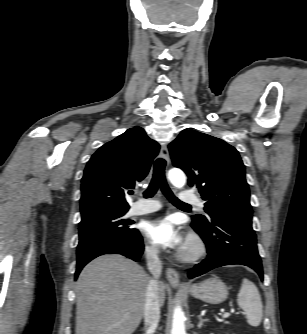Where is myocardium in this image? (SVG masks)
<instances>
[{
    "instance_id": "f54148a6",
    "label": "myocardium",
    "mask_w": 307,
    "mask_h": 334,
    "mask_svg": "<svg viewBox=\"0 0 307 334\" xmlns=\"http://www.w3.org/2000/svg\"><path fill=\"white\" fill-rule=\"evenodd\" d=\"M206 253L204 240L196 233H190L184 248L179 252L178 258L185 262H194Z\"/></svg>"
}]
</instances>
